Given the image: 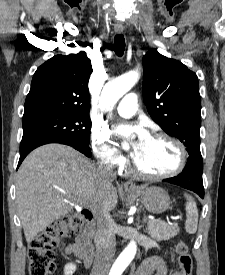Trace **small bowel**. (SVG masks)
<instances>
[{"label": "small bowel", "mask_w": 225, "mask_h": 275, "mask_svg": "<svg viewBox=\"0 0 225 275\" xmlns=\"http://www.w3.org/2000/svg\"><path fill=\"white\" fill-rule=\"evenodd\" d=\"M66 254L75 253V244H69L65 248ZM135 275H167L164 268V261L160 257H151L146 259L138 268ZM169 275H181L180 272H174Z\"/></svg>", "instance_id": "obj_1"}]
</instances>
